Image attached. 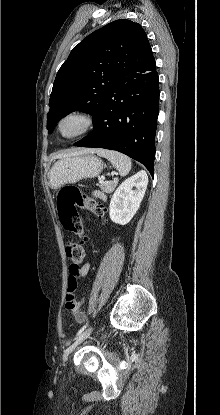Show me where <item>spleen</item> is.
<instances>
[{
  "mask_svg": "<svg viewBox=\"0 0 220 415\" xmlns=\"http://www.w3.org/2000/svg\"><path fill=\"white\" fill-rule=\"evenodd\" d=\"M97 154L101 157L108 159L112 163V165L116 166L121 176H126L130 172L132 162L131 159L126 155L119 153L117 151L105 149L98 150Z\"/></svg>",
  "mask_w": 220,
  "mask_h": 415,
  "instance_id": "1",
  "label": "spleen"
}]
</instances>
